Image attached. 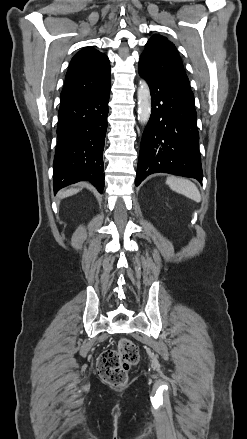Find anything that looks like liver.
<instances>
[{
    "mask_svg": "<svg viewBox=\"0 0 247 439\" xmlns=\"http://www.w3.org/2000/svg\"><path fill=\"white\" fill-rule=\"evenodd\" d=\"M79 190L80 189L71 188V189H68V190H65V191H61L59 193V197L60 198H65V197L72 196V195L76 194L77 192H79Z\"/></svg>",
    "mask_w": 247,
    "mask_h": 439,
    "instance_id": "liver-1",
    "label": "liver"
}]
</instances>
